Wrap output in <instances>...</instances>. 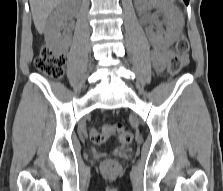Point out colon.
<instances>
[{
  "instance_id": "5ec220e1",
  "label": "colon",
  "mask_w": 223,
  "mask_h": 191,
  "mask_svg": "<svg viewBox=\"0 0 223 191\" xmlns=\"http://www.w3.org/2000/svg\"><path fill=\"white\" fill-rule=\"evenodd\" d=\"M189 49V40L182 35L177 40L175 44V51L168 61L167 70L171 76L180 71L183 58L187 55ZM65 63V54L54 53L48 48H43L41 54L35 59L36 69L52 80H58L62 77ZM115 132H118L121 144L128 145L132 142V133L129 130H125L122 123L106 125L101 129V131H93L91 133V140L96 145H102L106 139L112 136ZM102 169L104 173L116 174L120 171V164L116 160H107L104 162Z\"/></svg>"
}]
</instances>
